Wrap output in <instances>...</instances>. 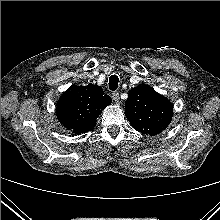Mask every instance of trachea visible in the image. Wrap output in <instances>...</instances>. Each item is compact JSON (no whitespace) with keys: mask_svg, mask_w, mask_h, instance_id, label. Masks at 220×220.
Here are the masks:
<instances>
[{"mask_svg":"<svg viewBox=\"0 0 220 220\" xmlns=\"http://www.w3.org/2000/svg\"><path fill=\"white\" fill-rule=\"evenodd\" d=\"M119 78L116 75H112L109 78V89L115 91L118 88Z\"/></svg>","mask_w":220,"mask_h":220,"instance_id":"3493384b","label":"trachea"}]
</instances>
